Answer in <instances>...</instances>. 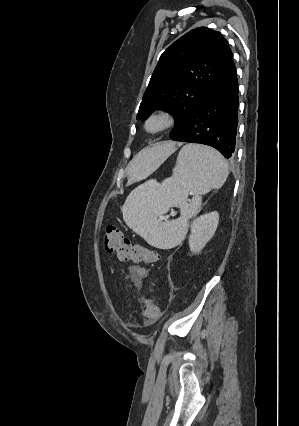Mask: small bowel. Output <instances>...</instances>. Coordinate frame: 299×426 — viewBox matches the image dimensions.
<instances>
[{
    "label": "small bowel",
    "instance_id": "c3829d8e",
    "mask_svg": "<svg viewBox=\"0 0 299 426\" xmlns=\"http://www.w3.org/2000/svg\"><path fill=\"white\" fill-rule=\"evenodd\" d=\"M147 275L148 271L145 267L134 265L130 268L128 279L134 287L140 288Z\"/></svg>",
    "mask_w": 299,
    "mask_h": 426
}]
</instances>
